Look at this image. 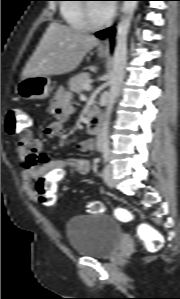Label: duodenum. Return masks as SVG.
Segmentation results:
<instances>
[{"label": "duodenum", "instance_id": "1", "mask_svg": "<svg viewBox=\"0 0 180 299\" xmlns=\"http://www.w3.org/2000/svg\"><path fill=\"white\" fill-rule=\"evenodd\" d=\"M102 116L100 113L94 112L88 119L87 130L89 133H97L101 126Z\"/></svg>", "mask_w": 180, "mask_h": 299}]
</instances>
